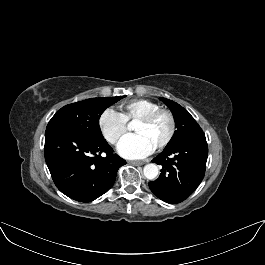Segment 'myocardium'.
Listing matches in <instances>:
<instances>
[{
  "mask_svg": "<svg viewBox=\"0 0 265 265\" xmlns=\"http://www.w3.org/2000/svg\"><path fill=\"white\" fill-rule=\"evenodd\" d=\"M159 115H165L167 117L169 121V128H168V132L166 136L161 141V143L153 149L155 152L161 151L165 147H167L174 137V134L176 131V120H175L173 113L170 110L165 109V108H157L155 110H152L144 114L143 116H141L135 121L136 124H147Z\"/></svg>",
  "mask_w": 265,
  "mask_h": 265,
  "instance_id": "obj_1",
  "label": "myocardium"
}]
</instances>
